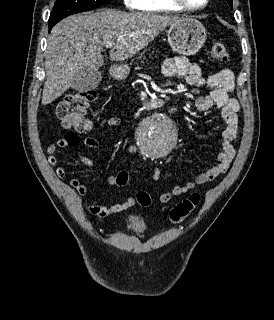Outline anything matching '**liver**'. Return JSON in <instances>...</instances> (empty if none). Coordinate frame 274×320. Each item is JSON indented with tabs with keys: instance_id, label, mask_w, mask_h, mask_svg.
Returning <instances> with one entry per match:
<instances>
[{
	"instance_id": "1",
	"label": "liver",
	"mask_w": 274,
	"mask_h": 320,
	"mask_svg": "<svg viewBox=\"0 0 274 320\" xmlns=\"http://www.w3.org/2000/svg\"><path fill=\"white\" fill-rule=\"evenodd\" d=\"M177 20L181 18L155 12L127 14L109 8L65 18L52 28L47 40L43 106L69 90L76 72L101 68L105 44L111 42L113 46L109 52L111 62H124Z\"/></svg>"
}]
</instances>
